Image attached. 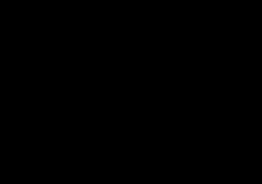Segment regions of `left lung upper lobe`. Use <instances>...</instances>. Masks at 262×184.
<instances>
[{
	"instance_id": "left-lung-upper-lobe-1",
	"label": "left lung upper lobe",
	"mask_w": 262,
	"mask_h": 184,
	"mask_svg": "<svg viewBox=\"0 0 262 184\" xmlns=\"http://www.w3.org/2000/svg\"><path fill=\"white\" fill-rule=\"evenodd\" d=\"M136 30L144 37L149 38L162 46V48L168 50L175 62L182 57L184 48L190 49V47H193V55L195 56L197 66L195 65L189 68L187 74L183 76H178L175 70H173L167 90H183L185 96L182 98L180 106L187 107L191 112L202 110L208 102L204 98L192 96L188 88L190 89L196 81L197 83H203L205 87H210L211 78L206 52L202 50L198 42L194 39V36L190 32L176 30L166 26L150 25L146 27H137Z\"/></svg>"
}]
</instances>
